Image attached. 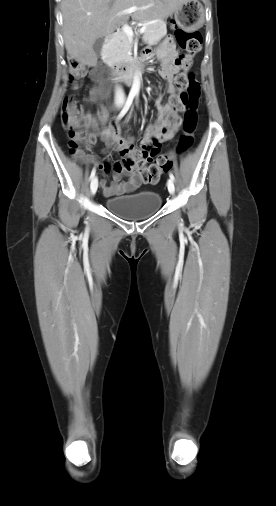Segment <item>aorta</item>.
I'll list each match as a JSON object with an SVG mask.
<instances>
[{
	"instance_id": "obj_1",
	"label": "aorta",
	"mask_w": 276,
	"mask_h": 506,
	"mask_svg": "<svg viewBox=\"0 0 276 506\" xmlns=\"http://www.w3.org/2000/svg\"><path fill=\"white\" fill-rule=\"evenodd\" d=\"M140 84H141V74L139 72H136L133 80V84L131 87L130 94L131 95H137L140 91Z\"/></svg>"
}]
</instances>
